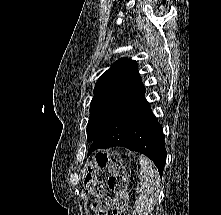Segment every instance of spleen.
<instances>
[{"instance_id": "1", "label": "spleen", "mask_w": 221, "mask_h": 215, "mask_svg": "<svg viewBox=\"0 0 221 215\" xmlns=\"http://www.w3.org/2000/svg\"><path fill=\"white\" fill-rule=\"evenodd\" d=\"M140 174L137 184L138 198L133 215H152L160 192V177L156 166L145 156H140Z\"/></svg>"}]
</instances>
